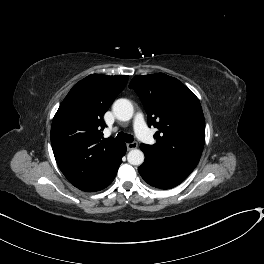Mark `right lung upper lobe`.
I'll list each match as a JSON object with an SVG mask.
<instances>
[{
	"instance_id": "1",
	"label": "right lung upper lobe",
	"mask_w": 264,
	"mask_h": 264,
	"mask_svg": "<svg viewBox=\"0 0 264 264\" xmlns=\"http://www.w3.org/2000/svg\"><path fill=\"white\" fill-rule=\"evenodd\" d=\"M129 76L91 74L76 83L56 112L51 145L67 180L91 191L117 170L124 143L103 138V115L127 84Z\"/></svg>"
}]
</instances>
